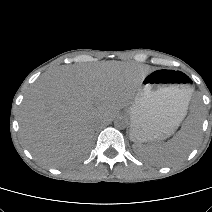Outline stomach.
Returning a JSON list of instances; mask_svg holds the SVG:
<instances>
[{
    "label": "stomach",
    "instance_id": "stomach-1",
    "mask_svg": "<svg viewBox=\"0 0 212 212\" xmlns=\"http://www.w3.org/2000/svg\"><path fill=\"white\" fill-rule=\"evenodd\" d=\"M180 71L159 69L141 81L130 107V137L135 143L164 140L184 118L193 89Z\"/></svg>",
    "mask_w": 212,
    "mask_h": 212
}]
</instances>
